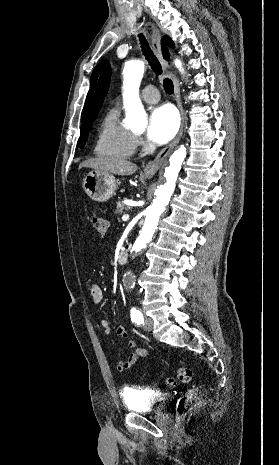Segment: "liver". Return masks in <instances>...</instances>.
Listing matches in <instances>:
<instances>
[{"label":"liver","mask_w":279,"mask_h":465,"mask_svg":"<svg viewBox=\"0 0 279 465\" xmlns=\"http://www.w3.org/2000/svg\"><path fill=\"white\" fill-rule=\"evenodd\" d=\"M86 167L109 174L128 176L137 171V165L125 159L115 157L91 158L79 165V169Z\"/></svg>","instance_id":"liver-1"}]
</instances>
